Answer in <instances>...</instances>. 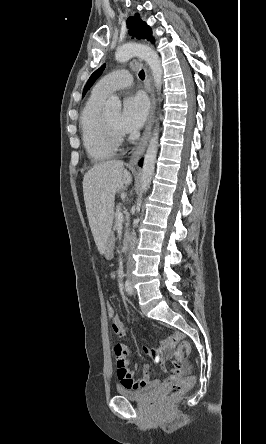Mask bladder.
<instances>
[{
	"instance_id": "1",
	"label": "bladder",
	"mask_w": 266,
	"mask_h": 444,
	"mask_svg": "<svg viewBox=\"0 0 266 444\" xmlns=\"http://www.w3.org/2000/svg\"><path fill=\"white\" fill-rule=\"evenodd\" d=\"M154 390L153 385L146 386L144 388L140 389H126V388H120L119 389V395L125 399L131 400V401H137L142 402L146 400Z\"/></svg>"
}]
</instances>
